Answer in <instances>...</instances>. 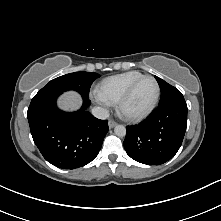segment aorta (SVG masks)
Here are the masks:
<instances>
[{"mask_svg": "<svg viewBox=\"0 0 221 221\" xmlns=\"http://www.w3.org/2000/svg\"><path fill=\"white\" fill-rule=\"evenodd\" d=\"M114 133L119 137H124L126 135V128L123 125H116Z\"/></svg>", "mask_w": 221, "mask_h": 221, "instance_id": "1", "label": "aorta"}]
</instances>
